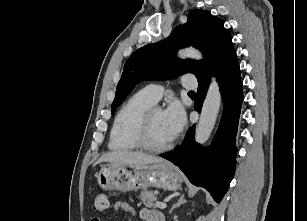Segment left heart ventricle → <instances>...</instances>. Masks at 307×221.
Instances as JSON below:
<instances>
[{
    "label": "left heart ventricle",
    "mask_w": 307,
    "mask_h": 221,
    "mask_svg": "<svg viewBox=\"0 0 307 221\" xmlns=\"http://www.w3.org/2000/svg\"><path fill=\"white\" fill-rule=\"evenodd\" d=\"M172 139L167 126L164 112L158 110L154 113L151 121L150 142L153 145L160 146Z\"/></svg>",
    "instance_id": "left-heart-ventricle-1"
}]
</instances>
